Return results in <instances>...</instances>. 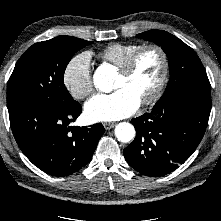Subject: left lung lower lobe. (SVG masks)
<instances>
[{"instance_id": "1", "label": "left lung lower lobe", "mask_w": 221, "mask_h": 221, "mask_svg": "<svg viewBox=\"0 0 221 221\" xmlns=\"http://www.w3.org/2000/svg\"><path fill=\"white\" fill-rule=\"evenodd\" d=\"M210 111L208 89L190 86L163 95L150 112L132 119L136 137L123 151L126 161L145 176L171 173L196 150Z\"/></svg>"}]
</instances>
